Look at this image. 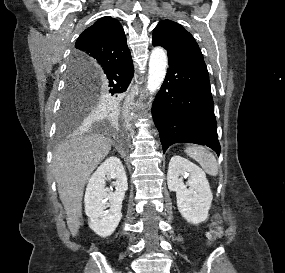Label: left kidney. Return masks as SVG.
<instances>
[{
  "label": "left kidney",
  "mask_w": 285,
  "mask_h": 273,
  "mask_svg": "<svg viewBox=\"0 0 285 273\" xmlns=\"http://www.w3.org/2000/svg\"><path fill=\"white\" fill-rule=\"evenodd\" d=\"M186 175L189 178L184 184L180 176ZM167 184L170 191L176 192L178 210L189 223L199 224L207 219L213 196L206 174L199 166L181 156H173Z\"/></svg>",
  "instance_id": "left-kidney-1"
}]
</instances>
